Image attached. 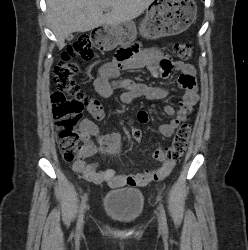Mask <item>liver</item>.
Returning <instances> with one entry per match:
<instances>
[{"label":"liver","instance_id":"1","mask_svg":"<svg viewBox=\"0 0 248 250\" xmlns=\"http://www.w3.org/2000/svg\"><path fill=\"white\" fill-rule=\"evenodd\" d=\"M154 0H47V19L63 49L73 32H87L102 25H118L141 15ZM110 10L108 14L103 11Z\"/></svg>","mask_w":248,"mask_h":250}]
</instances>
